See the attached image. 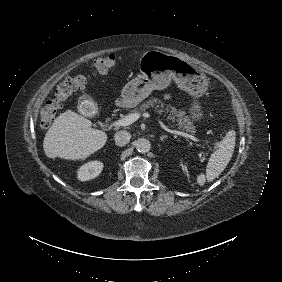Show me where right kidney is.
<instances>
[{"label": "right kidney", "mask_w": 282, "mask_h": 282, "mask_svg": "<svg viewBox=\"0 0 282 282\" xmlns=\"http://www.w3.org/2000/svg\"><path fill=\"white\" fill-rule=\"evenodd\" d=\"M103 169V161L97 159L88 160L76 169V178L81 182H86L99 176Z\"/></svg>", "instance_id": "ca27d5eb"}]
</instances>
